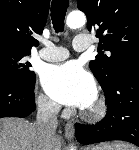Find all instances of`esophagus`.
Segmentation results:
<instances>
[{
	"instance_id": "34e87169",
	"label": "esophagus",
	"mask_w": 139,
	"mask_h": 150,
	"mask_svg": "<svg viewBox=\"0 0 139 150\" xmlns=\"http://www.w3.org/2000/svg\"><path fill=\"white\" fill-rule=\"evenodd\" d=\"M65 136L69 140L74 138V123L72 121L67 122L65 125Z\"/></svg>"
}]
</instances>
